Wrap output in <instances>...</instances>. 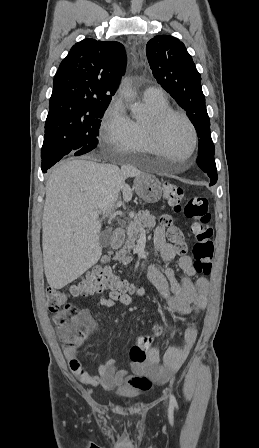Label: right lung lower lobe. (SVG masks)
I'll use <instances>...</instances> for the list:
<instances>
[{
	"label": "right lung lower lobe",
	"instance_id": "98d812e1",
	"mask_svg": "<svg viewBox=\"0 0 259 448\" xmlns=\"http://www.w3.org/2000/svg\"><path fill=\"white\" fill-rule=\"evenodd\" d=\"M64 156L42 159L41 169L45 173L47 169L51 168L56 162L61 160Z\"/></svg>",
	"mask_w": 259,
	"mask_h": 448
}]
</instances>
